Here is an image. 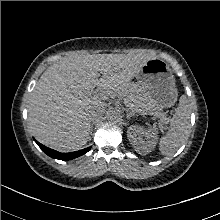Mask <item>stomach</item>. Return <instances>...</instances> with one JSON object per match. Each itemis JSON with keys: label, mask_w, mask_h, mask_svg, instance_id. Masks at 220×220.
<instances>
[{"label": "stomach", "mask_w": 220, "mask_h": 220, "mask_svg": "<svg viewBox=\"0 0 220 220\" xmlns=\"http://www.w3.org/2000/svg\"><path fill=\"white\" fill-rule=\"evenodd\" d=\"M141 96L135 110L151 113L169 108L177 101L178 91L169 65L162 59L153 58L136 74Z\"/></svg>", "instance_id": "stomach-1"}]
</instances>
